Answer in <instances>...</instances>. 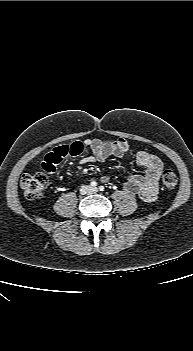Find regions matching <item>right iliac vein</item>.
Returning a JSON list of instances; mask_svg holds the SVG:
<instances>
[{"mask_svg":"<svg viewBox=\"0 0 193 351\" xmlns=\"http://www.w3.org/2000/svg\"><path fill=\"white\" fill-rule=\"evenodd\" d=\"M81 194L85 195V194H89L91 192L90 188L88 186H83L80 189Z\"/></svg>","mask_w":193,"mask_h":351,"instance_id":"1","label":"right iliac vein"}]
</instances>
